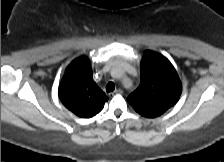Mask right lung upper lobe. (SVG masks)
<instances>
[{
    "label": "right lung upper lobe",
    "mask_w": 224,
    "mask_h": 162,
    "mask_svg": "<svg viewBox=\"0 0 224 162\" xmlns=\"http://www.w3.org/2000/svg\"><path fill=\"white\" fill-rule=\"evenodd\" d=\"M59 97L66 108L82 118L95 116L108 100L92 79L91 64L86 56L68 66L59 86Z\"/></svg>",
    "instance_id": "obj_1"
}]
</instances>
